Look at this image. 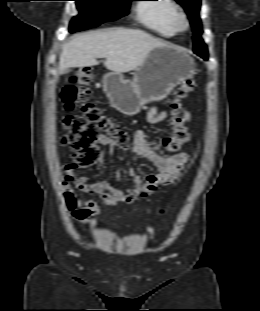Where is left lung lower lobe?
Instances as JSON below:
<instances>
[{"label":"left lung lower lobe","instance_id":"left-lung-lower-lobe-1","mask_svg":"<svg viewBox=\"0 0 260 311\" xmlns=\"http://www.w3.org/2000/svg\"><path fill=\"white\" fill-rule=\"evenodd\" d=\"M197 55H199L200 57H202L203 59L207 60L208 59V54H203V53H197L195 52Z\"/></svg>","mask_w":260,"mask_h":311}]
</instances>
